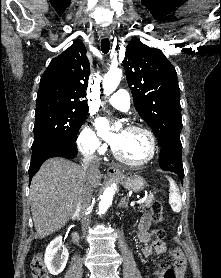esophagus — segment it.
<instances>
[{"mask_svg": "<svg viewBox=\"0 0 221 278\" xmlns=\"http://www.w3.org/2000/svg\"><path fill=\"white\" fill-rule=\"evenodd\" d=\"M102 34L105 38H108V37H110L111 32L109 30H104ZM107 174L109 176H120L121 172L116 166H110L107 169Z\"/></svg>", "mask_w": 221, "mask_h": 278, "instance_id": "34e87169", "label": "esophagus"}]
</instances>
